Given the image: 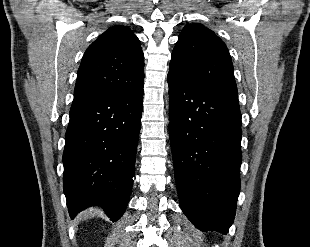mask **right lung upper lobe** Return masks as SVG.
Here are the masks:
<instances>
[{
	"mask_svg": "<svg viewBox=\"0 0 310 247\" xmlns=\"http://www.w3.org/2000/svg\"><path fill=\"white\" fill-rule=\"evenodd\" d=\"M144 84V55L130 28L113 26L85 51L74 99L132 91Z\"/></svg>",
	"mask_w": 310,
	"mask_h": 247,
	"instance_id": "obj_1",
	"label": "right lung upper lobe"
}]
</instances>
